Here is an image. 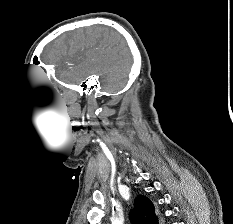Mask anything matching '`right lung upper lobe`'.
<instances>
[{
    "label": "right lung upper lobe",
    "instance_id": "right-lung-upper-lobe-1",
    "mask_svg": "<svg viewBox=\"0 0 233 224\" xmlns=\"http://www.w3.org/2000/svg\"><path fill=\"white\" fill-rule=\"evenodd\" d=\"M136 207L130 212V219L137 224H159L152 202L145 196L138 195Z\"/></svg>",
    "mask_w": 233,
    "mask_h": 224
}]
</instances>
